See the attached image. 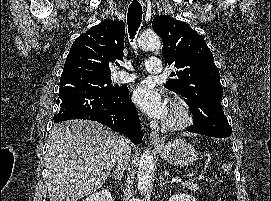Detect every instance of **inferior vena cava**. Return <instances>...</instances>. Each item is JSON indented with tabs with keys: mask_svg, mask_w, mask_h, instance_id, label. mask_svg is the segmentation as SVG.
I'll return each instance as SVG.
<instances>
[{
	"mask_svg": "<svg viewBox=\"0 0 271 201\" xmlns=\"http://www.w3.org/2000/svg\"><path fill=\"white\" fill-rule=\"evenodd\" d=\"M117 138L120 145V149L116 157L118 163L117 168L122 171L126 169L130 160L131 148L129 147V140L123 135L119 134L117 135Z\"/></svg>",
	"mask_w": 271,
	"mask_h": 201,
	"instance_id": "602c4592",
	"label": "inferior vena cava"
}]
</instances>
